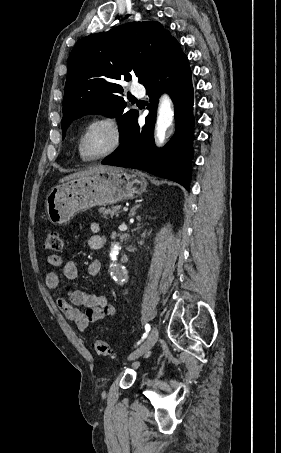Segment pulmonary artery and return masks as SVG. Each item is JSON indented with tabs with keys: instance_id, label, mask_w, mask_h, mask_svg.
<instances>
[{
	"instance_id": "e3ab8cb5",
	"label": "pulmonary artery",
	"mask_w": 281,
	"mask_h": 453,
	"mask_svg": "<svg viewBox=\"0 0 281 453\" xmlns=\"http://www.w3.org/2000/svg\"><path fill=\"white\" fill-rule=\"evenodd\" d=\"M132 93H133L134 95H136L137 97H143L144 94H145V92L142 91V90L132 91Z\"/></svg>"
}]
</instances>
